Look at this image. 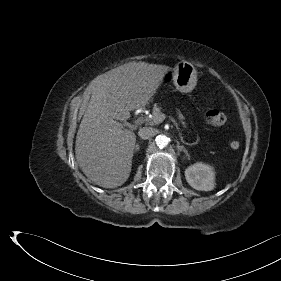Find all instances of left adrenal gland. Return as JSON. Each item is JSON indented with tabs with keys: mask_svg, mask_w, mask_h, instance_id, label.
I'll list each match as a JSON object with an SVG mask.
<instances>
[{
	"mask_svg": "<svg viewBox=\"0 0 281 281\" xmlns=\"http://www.w3.org/2000/svg\"><path fill=\"white\" fill-rule=\"evenodd\" d=\"M177 150H178V152L183 151L186 154V156H189L188 151L186 150V148L184 146L177 145Z\"/></svg>",
	"mask_w": 281,
	"mask_h": 281,
	"instance_id": "a2214340",
	"label": "left adrenal gland"
}]
</instances>
